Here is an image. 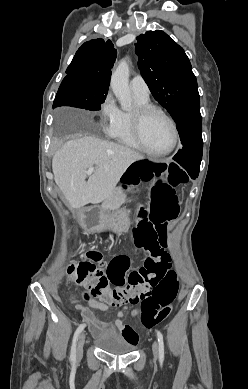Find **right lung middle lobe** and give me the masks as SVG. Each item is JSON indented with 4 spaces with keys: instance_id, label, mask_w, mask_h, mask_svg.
<instances>
[{
    "instance_id": "right-lung-middle-lobe-1",
    "label": "right lung middle lobe",
    "mask_w": 248,
    "mask_h": 389,
    "mask_svg": "<svg viewBox=\"0 0 248 389\" xmlns=\"http://www.w3.org/2000/svg\"><path fill=\"white\" fill-rule=\"evenodd\" d=\"M108 88L88 84L83 74H68L56 94L53 107L73 106L86 110H100L106 99Z\"/></svg>"
}]
</instances>
